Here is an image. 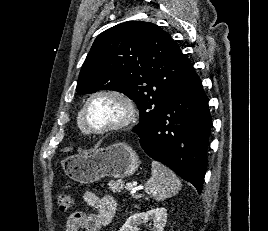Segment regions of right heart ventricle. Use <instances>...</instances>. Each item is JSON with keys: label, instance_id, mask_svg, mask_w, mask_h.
Returning a JSON list of instances; mask_svg holds the SVG:
<instances>
[{"label": "right heart ventricle", "instance_id": "1", "mask_svg": "<svg viewBox=\"0 0 268 231\" xmlns=\"http://www.w3.org/2000/svg\"><path fill=\"white\" fill-rule=\"evenodd\" d=\"M77 123H78V127L80 128V130L85 133L86 130H85L83 124H82V119H81V114L80 113L78 114V117H77Z\"/></svg>", "mask_w": 268, "mask_h": 231}]
</instances>
